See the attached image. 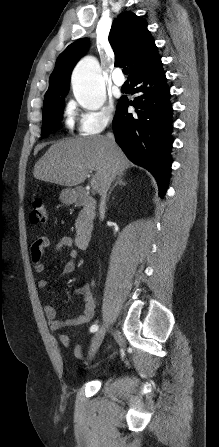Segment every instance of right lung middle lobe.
Masks as SVG:
<instances>
[{"mask_svg": "<svg viewBox=\"0 0 219 447\" xmlns=\"http://www.w3.org/2000/svg\"><path fill=\"white\" fill-rule=\"evenodd\" d=\"M66 94H59L44 100L41 136H46L53 130L59 129Z\"/></svg>", "mask_w": 219, "mask_h": 447, "instance_id": "obj_1", "label": "right lung middle lobe"}]
</instances>
